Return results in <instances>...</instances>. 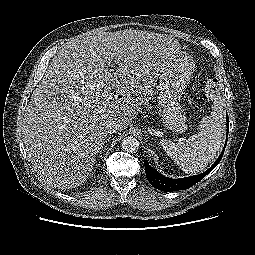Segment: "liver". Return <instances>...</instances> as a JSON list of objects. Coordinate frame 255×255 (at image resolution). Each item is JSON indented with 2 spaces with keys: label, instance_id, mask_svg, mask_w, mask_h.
<instances>
[{
  "label": "liver",
  "instance_id": "obj_1",
  "mask_svg": "<svg viewBox=\"0 0 255 255\" xmlns=\"http://www.w3.org/2000/svg\"><path fill=\"white\" fill-rule=\"evenodd\" d=\"M180 49L171 35L132 29L88 32L62 47L22 125L28 158L44 183L58 189L84 183L104 147L107 123L116 121L119 130L130 125ZM111 90L122 98L106 101Z\"/></svg>",
  "mask_w": 255,
  "mask_h": 255
}]
</instances>
